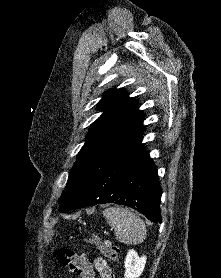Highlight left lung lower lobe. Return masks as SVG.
<instances>
[{
    "label": "left lung lower lobe",
    "instance_id": "obj_1",
    "mask_svg": "<svg viewBox=\"0 0 221 278\" xmlns=\"http://www.w3.org/2000/svg\"><path fill=\"white\" fill-rule=\"evenodd\" d=\"M142 138L110 160L73 209L115 203L137 210L152 222H162L157 168L145 150Z\"/></svg>",
    "mask_w": 221,
    "mask_h": 278
}]
</instances>
